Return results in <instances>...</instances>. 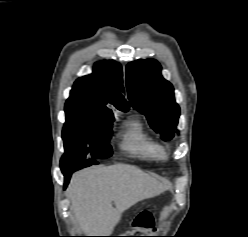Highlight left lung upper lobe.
I'll list each match as a JSON object with an SVG mask.
<instances>
[{
  "label": "left lung upper lobe",
  "instance_id": "left-lung-upper-lobe-1",
  "mask_svg": "<svg viewBox=\"0 0 248 237\" xmlns=\"http://www.w3.org/2000/svg\"><path fill=\"white\" fill-rule=\"evenodd\" d=\"M126 84L133 107L145 114L150 126L171 140L180 116L174 89L161 75V66L154 59L137 60L126 68Z\"/></svg>",
  "mask_w": 248,
  "mask_h": 237
}]
</instances>
